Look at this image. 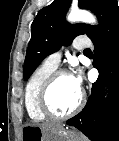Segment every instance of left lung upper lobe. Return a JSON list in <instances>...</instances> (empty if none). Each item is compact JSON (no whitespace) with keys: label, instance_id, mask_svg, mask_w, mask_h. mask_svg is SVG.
<instances>
[{"label":"left lung upper lobe","instance_id":"1","mask_svg":"<svg viewBox=\"0 0 119 141\" xmlns=\"http://www.w3.org/2000/svg\"><path fill=\"white\" fill-rule=\"evenodd\" d=\"M70 5L71 0H54L38 12L31 26V39L24 62L25 80L45 57L58 51L62 45H69L78 35L87 34L90 38L119 9L116 0H78L79 8L92 11L99 25H70L65 21Z\"/></svg>","mask_w":119,"mask_h":141}]
</instances>
